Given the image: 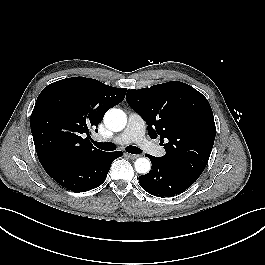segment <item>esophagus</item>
Returning a JSON list of instances; mask_svg holds the SVG:
<instances>
[{"mask_svg":"<svg viewBox=\"0 0 265 265\" xmlns=\"http://www.w3.org/2000/svg\"><path fill=\"white\" fill-rule=\"evenodd\" d=\"M126 156L132 160L138 158V155H134V154H130V153H126Z\"/></svg>","mask_w":265,"mask_h":265,"instance_id":"obj_1","label":"esophagus"}]
</instances>
